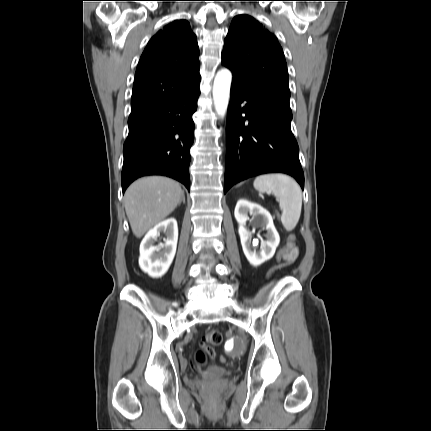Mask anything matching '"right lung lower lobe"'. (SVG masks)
<instances>
[{"label":"right lung lower lobe","mask_w":431,"mask_h":431,"mask_svg":"<svg viewBox=\"0 0 431 431\" xmlns=\"http://www.w3.org/2000/svg\"><path fill=\"white\" fill-rule=\"evenodd\" d=\"M199 93L198 81L168 102L130 114L129 134L123 147V193L130 183L145 175H165L190 189L192 115Z\"/></svg>","instance_id":"1"}]
</instances>
